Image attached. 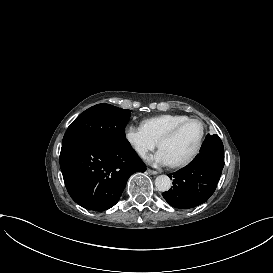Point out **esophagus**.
Masks as SVG:
<instances>
[{
	"label": "esophagus",
	"mask_w": 273,
	"mask_h": 273,
	"mask_svg": "<svg viewBox=\"0 0 273 273\" xmlns=\"http://www.w3.org/2000/svg\"><path fill=\"white\" fill-rule=\"evenodd\" d=\"M147 172H148L149 174H151V175H156V174H158V171L152 170V169H150V168L147 169Z\"/></svg>",
	"instance_id": "1"
}]
</instances>
